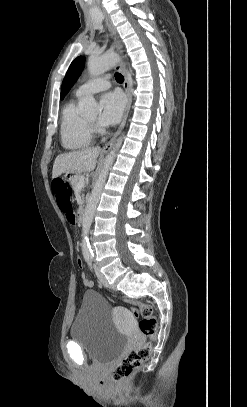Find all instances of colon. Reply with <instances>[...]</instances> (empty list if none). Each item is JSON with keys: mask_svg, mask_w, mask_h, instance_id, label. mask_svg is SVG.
Returning <instances> with one entry per match:
<instances>
[{"mask_svg": "<svg viewBox=\"0 0 247 407\" xmlns=\"http://www.w3.org/2000/svg\"><path fill=\"white\" fill-rule=\"evenodd\" d=\"M52 191L56 196L59 209L64 214H68L72 210V188L70 184L62 179H56L52 182ZM124 301L132 306L134 314L140 318L139 330L141 333L153 340L157 332V320L154 316L153 307L148 303L131 297H125ZM151 352L152 344L149 341L126 354L124 358L112 369V380L115 382H122L126 380L132 374V372L138 369L145 361L149 359Z\"/></svg>", "mask_w": 247, "mask_h": 407, "instance_id": "5ec220e1", "label": "colon"}]
</instances>
